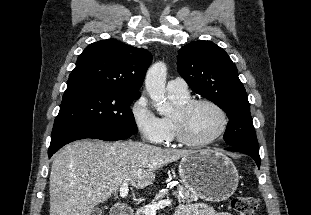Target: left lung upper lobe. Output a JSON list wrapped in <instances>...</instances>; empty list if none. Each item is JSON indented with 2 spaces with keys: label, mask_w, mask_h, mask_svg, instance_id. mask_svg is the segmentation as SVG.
I'll return each mask as SVG.
<instances>
[{
  "label": "left lung upper lobe",
  "mask_w": 311,
  "mask_h": 215,
  "mask_svg": "<svg viewBox=\"0 0 311 215\" xmlns=\"http://www.w3.org/2000/svg\"><path fill=\"white\" fill-rule=\"evenodd\" d=\"M177 69L194 92L226 112L225 142L258 151L247 94L228 54L211 41L191 42L179 50Z\"/></svg>",
  "instance_id": "left-lung-upper-lobe-1"
}]
</instances>
